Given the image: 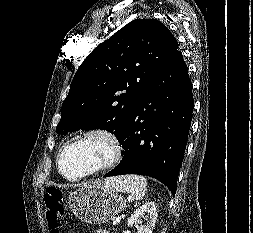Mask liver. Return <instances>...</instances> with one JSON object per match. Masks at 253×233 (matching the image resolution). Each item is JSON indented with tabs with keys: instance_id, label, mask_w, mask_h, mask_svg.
<instances>
[{
	"instance_id": "1",
	"label": "liver",
	"mask_w": 253,
	"mask_h": 233,
	"mask_svg": "<svg viewBox=\"0 0 253 233\" xmlns=\"http://www.w3.org/2000/svg\"><path fill=\"white\" fill-rule=\"evenodd\" d=\"M106 182H107V180H105V181H98V182H95V183H100V184L105 185V184H106Z\"/></svg>"
}]
</instances>
